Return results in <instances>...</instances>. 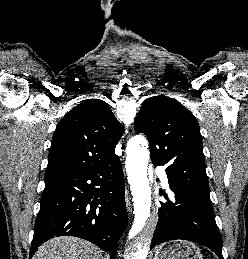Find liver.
I'll return each mask as SVG.
<instances>
[{"instance_id":"liver-1","label":"liver","mask_w":248,"mask_h":259,"mask_svg":"<svg viewBox=\"0 0 248 259\" xmlns=\"http://www.w3.org/2000/svg\"><path fill=\"white\" fill-rule=\"evenodd\" d=\"M32 259H104L94 244L76 237H55L41 245Z\"/></svg>"}]
</instances>
